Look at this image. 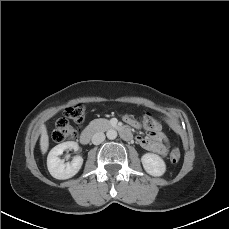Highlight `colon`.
<instances>
[{
  "label": "colon",
  "mask_w": 229,
  "mask_h": 229,
  "mask_svg": "<svg viewBox=\"0 0 229 229\" xmlns=\"http://www.w3.org/2000/svg\"><path fill=\"white\" fill-rule=\"evenodd\" d=\"M67 116L77 125H81L85 117V107L82 104L74 105L67 109ZM147 129L153 128V121L147 120L144 123ZM76 129L70 124L66 118L57 120L55 127L52 131L53 141L59 143L66 140L73 139L76 136ZM181 158V151L178 148H173L170 154L172 163H177Z\"/></svg>",
  "instance_id": "5ec220e1"
}]
</instances>
